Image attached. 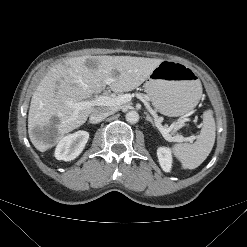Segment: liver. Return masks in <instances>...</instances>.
<instances>
[{
	"label": "liver",
	"mask_w": 247,
	"mask_h": 247,
	"mask_svg": "<svg viewBox=\"0 0 247 247\" xmlns=\"http://www.w3.org/2000/svg\"><path fill=\"white\" fill-rule=\"evenodd\" d=\"M162 59L132 56H80L65 60L48 71L33 93L28 114L29 138L41 152L53 147L62 137L83 125L88 116L98 108L87 107L77 114L67 101L78 103L90 98L92 94L105 89L106 80L115 93L129 92L140 86ZM55 119L56 137L53 143L38 139L33 130L43 128Z\"/></svg>",
	"instance_id": "6515ba94"
}]
</instances>
